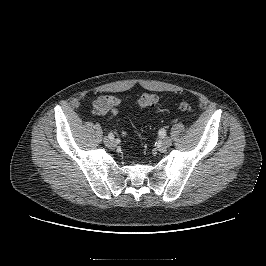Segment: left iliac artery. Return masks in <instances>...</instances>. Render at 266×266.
Instances as JSON below:
<instances>
[{"instance_id":"obj_1","label":"left iliac artery","mask_w":266,"mask_h":266,"mask_svg":"<svg viewBox=\"0 0 266 266\" xmlns=\"http://www.w3.org/2000/svg\"><path fill=\"white\" fill-rule=\"evenodd\" d=\"M166 136V132L164 129H161L158 133H157V139L159 141H162Z\"/></svg>"}]
</instances>
